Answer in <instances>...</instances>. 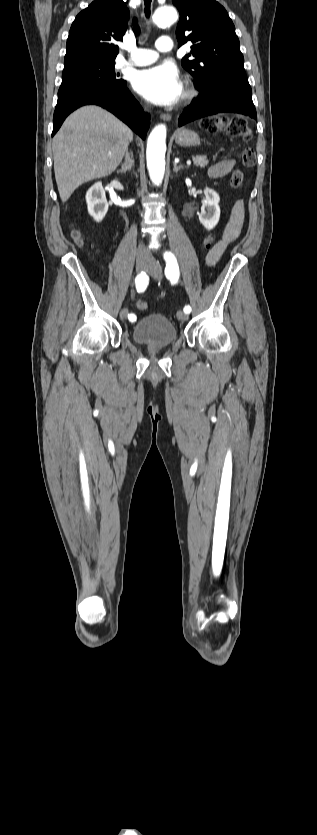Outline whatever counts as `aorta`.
Wrapping results in <instances>:
<instances>
[{"label":"aorta","mask_w":317,"mask_h":835,"mask_svg":"<svg viewBox=\"0 0 317 835\" xmlns=\"http://www.w3.org/2000/svg\"><path fill=\"white\" fill-rule=\"evenodd\" d=\"M177 20V11L166 5L156 9L153 21L157 25H171ZM166 126L158 124L148 137L146 159L151 181L160 185L165 173Z\"/></svg>","instance_id":"1"}]
</instances>
